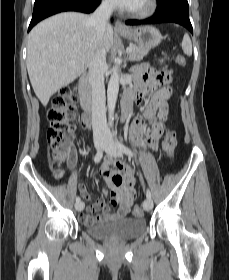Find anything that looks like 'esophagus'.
<instances>
[{"instance_id":"obj_1","label":"esophagus","mask_w":229,"mask_h":280,"mask_svg":"<svg viewBox=\"0 0 229 280\" xmlns=\"http://www.w3.org/2000/svg\"><path fill=\"white\" fill-rule=\"evenodd\" d=\"M115 29L120 31L128 30V27L120 20H117L115 23Z\"/></svg>"}]
</instances>
